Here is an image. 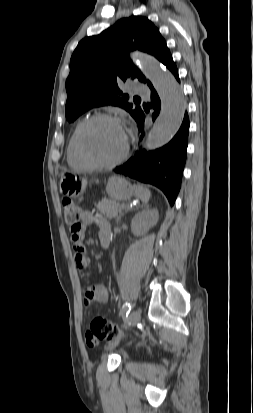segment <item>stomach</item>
I'll return each mask as SVG.
<instances>
[{"label":"stomach","mask_w":253,"mask_h":413,"mask_svg":"<svg viewBox=\"0 0 253 413\" xmlns=\"http://www.w3.org/2000/svg\"><path fill=\"white\" fill-rule=\"evenodd\" d=\"M86 179L76 174L63 173L60 179V192L72 198L79 197L86 189ZM106 191L115 201L129 200L134 194V187L123 177L113 176L108 180Z\"/></svg>","instance_id":"stomach-1"}]
</instances>
